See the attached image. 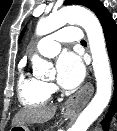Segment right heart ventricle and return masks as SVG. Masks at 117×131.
<instances>
[{"label":"right heart ventricle","instance_id":"1","mask_svg":"<svg viewBox=\"0 0 117 131\" xmlns=\"http://www.w3.org/2000/svg\"><path fill=\"white\" fill-rule=\"evenodd\" d=\"M17 88L19 100L24 106H42L50 99L51 91L48 84L26 70L21 71Z\"/></svg>","mask_w":117,"mask_h":131}]
</instances>
